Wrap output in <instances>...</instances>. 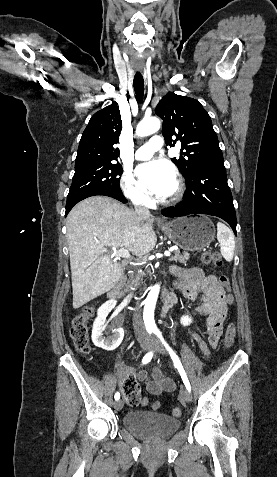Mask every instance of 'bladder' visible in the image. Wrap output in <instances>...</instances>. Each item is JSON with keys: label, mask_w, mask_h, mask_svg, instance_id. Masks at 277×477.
<instances>
[{"label": "bladder", "mask_w": 277, "mask_h": 477, "mask_svg": "<svg viewBox=\"0 0 277 477\" xmlns=\"http://www.w3.org/2000/svg\"><path fill=\"white\" fill-rule=\"evenodd\" d=\"M124 426L135 435L145 439H162L176 432L179 419L150 411H130L123 418Z\"/></svg>", "instance_id": "obj_1"}]
</instances>
